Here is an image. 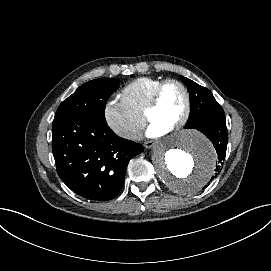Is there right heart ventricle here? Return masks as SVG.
Listing matches in <instances>:
<instances>
[{"mask_svg":"<svg viewBox=\"0 0 271 271\" xmlns=\"http://www.w3.org/2000/svg\"><path fill=\"white\" fill-rule=\"evenodd\" d=\"M162 80L164 78L152 76L136 78L122 88L123 99L133 112L145 116L152 93Z\"/></svg>","mask_w":271,"mask_h":271,"instance_id":"obj_1","label":"right heart ventricle"}]
</instances>
